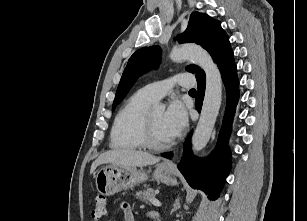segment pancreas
<instances>
[{
  "label": "pancreas",
  "mask_w": 307,
  "mask_h": 221,
  "mask_svg": "<svg viewBox=\"0 0 307 221\" xmlns=\"http://www.w3.org/2000/svg\"><path fill=\"white\" fill-rule=\"evenodd\" d=\"M156 195L155 190L152 188H147L143 191L136 193L137 199H140L144 202H149L151 198H154Z\"/></svg>",
  "instance_id": "obj_1"
}]
</instances>
